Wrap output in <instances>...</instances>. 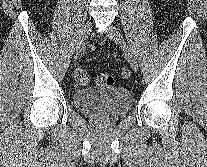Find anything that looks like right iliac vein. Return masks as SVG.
Segmentation results:
<instances>
[{"mask_svg":"<svg viewBox=\"0 0 207 167\" xmlns=\"http://www.w3.org/2000/svg\"><path fill=\"white\" fill-rule=\"evenodd\" d=\"M91 27H92V23L91 21L88 20L83 27L81 38L75 51V55H74L75 60H77L80 57V55L82 54V52L84 51L86 47V42L89 37Z\"/></svg>","mask_w":207,"mask_h":167,"instance_id":"obj_1","label":"right iliac vein"}]
</instances>
